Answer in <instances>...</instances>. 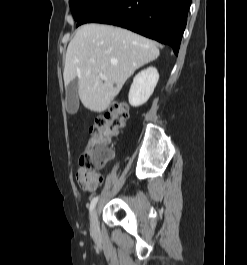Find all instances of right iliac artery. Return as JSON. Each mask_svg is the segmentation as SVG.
<instances>
[{
  "mask_svg": "<svg viewBox=\"0 0 247 265\" xmlns=\"http://www.w3.org/2000/svg\"><path fill=\"white\" fill-rule=\"evenodd\" d=\"M97 201H98V197H94V198L92 199V201H91V203H90V208H89V210H90V214L92 213V211H93V209H94V207H95Z\"/></svg>",
  "mask_w": 247,
  "mask_h": 265,
  "instance_id": "82829eb1",
  "label": "right iliac artery"
}]
</instances>
